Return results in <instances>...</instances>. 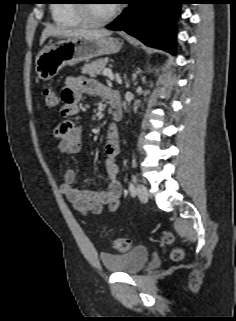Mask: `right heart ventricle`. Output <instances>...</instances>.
Here are the masks:
<instances>
[{"label":"right heart ventricle","instance_id":"right-heart-ventricle-1","mask_svg":"<svg viewBox=\"0 0 236 321\" xmlns=\"http://www.w3.org/2000/svg\"><path fill=\"white\" fill-rule=\"evenodd\" d=\"M78 0H58L51 8L52 19L62 27L80 26L85 23L77 9Z\"/></svg>","mask_w":236,"mask_h":321}]
</instances>
